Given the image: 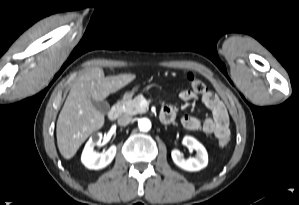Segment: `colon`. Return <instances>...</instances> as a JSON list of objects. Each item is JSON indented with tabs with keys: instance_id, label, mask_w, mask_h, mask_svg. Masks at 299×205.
Wrapping results in <instances>:
<instances>
[{
	"instance_id": "colon-1",
	"label": "colon",
	"mask_w": 299,
	"mask_h": 205,
	"mask_svg": "<svg viewBox=\"0 0 299 205\" xmlns=\"http://www.w3.org/2000/svg\"><path fill=\"white\" fill-rule=\"evenodd\" d=\"M186 80H187V83L189 86V90H191L192 92H194L196 94H201L206 91V85L200 79H198L195 75H193L191 73L187 74ZM229 141H230L229 136H223L218 139V143L222 147L226 146L229 143Z\"/></svg>"
}]
</instances>
